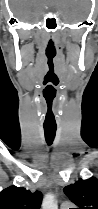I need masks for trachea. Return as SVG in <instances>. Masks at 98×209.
Wrapping results in <instances>:
<instances>
[{
  "label": "trachea",
  "mask_w": 98,
  "mask_h": 209,
  "mask_svg": "<svg viewBox=\"0 0 98 209\" xmlns=\"http://www.w3.org/2000/svg\"><path fill=\"white\" fill-rule=\"evenodd\" d=\"M56 129V127L44 126L45 139L48 145H51L53 143Z\"/></svg>",
  "instance_id": "obj_1"
}]
</instances>
